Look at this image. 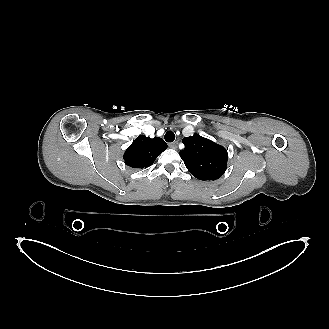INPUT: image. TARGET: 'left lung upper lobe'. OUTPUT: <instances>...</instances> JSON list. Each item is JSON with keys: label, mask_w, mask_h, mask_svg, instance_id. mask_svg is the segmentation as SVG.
Here are the masks:
<instances>
[{"label": "left lung upper lobe", "mask_w": 329, "mask_h": 329, "mask_svg": "<svg viewBox=\"0 0 329 329\" xmlns=\"http://www.w3.org/2000/svg\"><path fill=\"white\" fill-rule=\"evenodd\" d=\"M185 145L179 155L190 173L200 180H215L226 170L227 150L198 134L183 138Z\"/></svg>", "instance_id": "1"}]
</instances>
